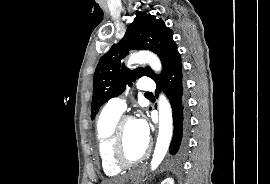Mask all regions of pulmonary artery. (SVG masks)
I'll use <instances>...</instances> for the list:
<instances>
[{"mask_svg":"<svg viewBox=\"0 0 270 184\" xmlns=\"http://www.w3.org/2000/svg\"><path fill=\"white\" fill-rule=\"evenodd\" d=\"M137 88L144 93H151L155 89V84L150 78H141L137 83ZM107 107L118 113H123L126 109V102L123 98H112Z\"/></svg>","mask_w":270,"mask_h":184,"instance_id":"obj_1","label":"pulmonary artery"}]
</instances>
